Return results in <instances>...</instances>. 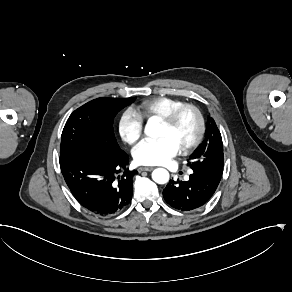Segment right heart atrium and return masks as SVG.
<instances>
[{
    "instance_id": "obj_1",
    "label": "right heart atrium",
    "mask_w": 292,
    "mask_h": 292,
    "mask_svg": "<svg viewBox=\"0 0 292 292\" xmlns=\"http://www.w3.org/2000/svg\"><path fill=\"white\" fill-rule=\"evenodd\" d=\"M144 119L139 112L128 107L124 109L118 119V133L121 139L130 144H135L143 135Z\"/></svg>"
}]
</instances>
